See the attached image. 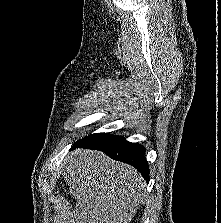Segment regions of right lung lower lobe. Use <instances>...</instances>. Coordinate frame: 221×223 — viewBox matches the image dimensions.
<instances>
[{"label": "right lung lower lobe", "instance_id": "right-lung-lower-lobe-1", "mask_svg": "<svg viewBox=\"0 0 221 223\" xmlns=\"http://www.w3.org/2000/svg\"><path fill=\"white\" fill-rule=\"evenodd\" d=\"M76 147L99 150L112 159L128 163L149 182V168L144 156L145 148L140 144L127 142L122 136L98 133L77 141L71 149Z\"/></svg>", "mask_w": 221, "mask_h": 223}]
</instances>
